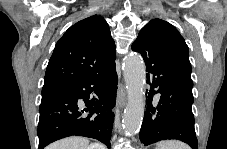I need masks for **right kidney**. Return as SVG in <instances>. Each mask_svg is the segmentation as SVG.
Here are the masks:
<instances>
[{
  "label": "right kidney",
  "instance_id": "right-kidney-1",
  "mask_svg": "<svg viewBox=\"0 0 227 149\" xmlns=\"http://www.w3.org/2000/svg\"><path fill=\"white\" fill-rule=\"evenodd\" d=\"M87 149H101V146L99 144H91Z\"/></svg>",
  "mask_w": 227,
  "mask_h": 149
}]
</instances>
